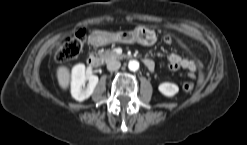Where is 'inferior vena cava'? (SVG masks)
<instances>
[{
  "instance_id": "inferior-vena-cava-1",
  "label": "inferior vena cava",
  "mask_w": 247,
  "mask_h": 145,
  "mask_svg": "<svg viewBox=\"0 0 247 145\" xmlns=\"http://www.w3.org/2000/svg\"><path fill=\"white\" fill-rule=\"evenodd\" d=\"M121 66V63L118 61V60H110L108 63H107V69L109 71H116L120 68Z\"/></svg>"
}]
</instances>
